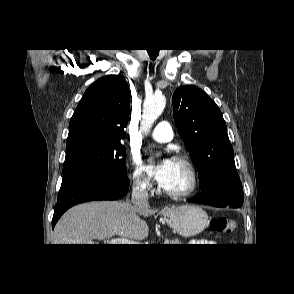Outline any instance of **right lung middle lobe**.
Here are the masks:
<instances>
[{
  "instance_id": "right-lung-middle-lobe-1",
  "label": "right lung middle lobe",
  "mask_w": 294,
  "mask_h": 294,
  "mask_svg": "<svg viewBox=\"0 0 294 294\" xmlns=\"http://www.w3.org/2000/svg\"><path fill=\"white\" fill-rule=\"evenodd\" d=\"M125 147L117 142L81 140L67 144L62 183L80 175L125 178Z\"/></svg>"
}]
</instances>
